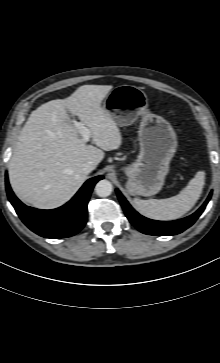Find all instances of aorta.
<instances>
[{
	"instance_id": "obj_1",
	"label": "aorta",
	"mask_w": 220,
	"mask_h": 363,
	"mask_svg": "<svg viewBox=\"0 0 220 363\" xmlns=\"http://www.w3.org/2000/svg\"><path fill=\"white\" fill-rule=\"evenodd\" d=\"M113 186L110 181L100 180L95 186V192L99 197H107L112 193Z\"/></svg>"
}]
</instances>
